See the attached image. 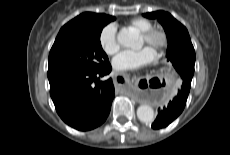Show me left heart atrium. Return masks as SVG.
I'll use <instances>...</instances> for the list:
<instances>
[{
  "label": "left heart atrium",
  "instance_id": "1",
  "mask_svg": "<svg viewBox=\"0 0 230 155\" xmlns=\"http://www.w3.org/2000/svg\"><path fill=\"white\" fill-rule=\"evenodd\" d=\"M154 55L149 47H143L136 51H123L113 59L112 65L116 71L136 70L151 63Z\"/></svg>",
  "mask_w": 230,
  "mask_h": 155
}]
</instances>
